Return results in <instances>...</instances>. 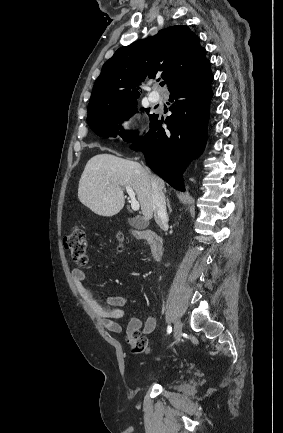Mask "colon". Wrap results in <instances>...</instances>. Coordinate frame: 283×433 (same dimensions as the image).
<instances>
[{
  "label": "colon",
  "mask_w": 283,
  "mask_h": 433,
  "mask_svg": "<svg viewBox=\"0 0 283 433\" xmlns=\"http://www.w3.org/2000/svg\"><path fill=\"white\" fill-rule=\"evenodd\" d=\"M65 248L69 251L72 260L79 266H88L87 236L80 226H74L64 239ZM127 342L134 354H144L149 351L147 339L138 332L128 334Z\"/></svg>",
  "instance_id": "1"
}]
</instances>
